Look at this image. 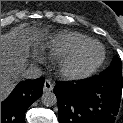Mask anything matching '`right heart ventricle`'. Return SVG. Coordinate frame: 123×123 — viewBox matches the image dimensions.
<instances>
[{
    "mask_svg": "<svg viewBox=\"0 0 123 123\" xmlns=\"http://www.w3.org/2000/svg\"><path fill=\"white\" fill-rule=\"evenodd\" d=\"M88 40L87 36L76 32L59 33L48 41L46 49L51 57L60 59Z\"/></svg>",
    "mask_w": 123,
    "mask_h": 123,
    "instance_id": "obj_1",
    "label": "right heart ventricle"
}]
</instances>
